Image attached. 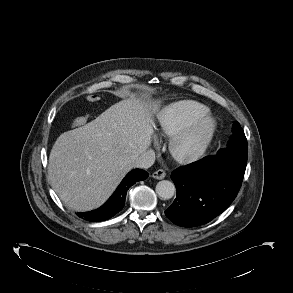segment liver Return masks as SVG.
Masks as SVG:
<instances>
[{
	"label": "liver",
	"instance_id": "6515ba94",
	"mask_svg": "<svg viewBox=\"0 0 293 293\" xmlns=\"http://www.w3.org/2000/svg\"><path fill=\"white\" fill-rule=\"evenodd\" d=\"M159 108L147 93H134L57 138L49 156L48 178L68 208L93 210L111 196L133 162L149 148L152 115Z\"/></svg>",
	"mask_w": 293,
	"mask_h": 293
}]
</instances>
